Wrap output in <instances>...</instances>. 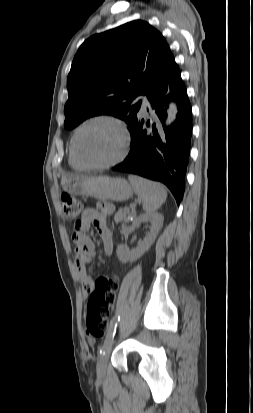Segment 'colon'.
I'll list each match as a JSON object with an SVG mask.
<instances>
[{
    "label": "colon",
    "mask_w": 253,
    "mask_h": 413,
    "mask_svg": "<svg viewBox=\"0 0 253 413\" xmlns=\"http://www.w3.org/2000/svg\"><path fill=\"white\" fill-rule=\"evenodd\" d=\"M63 212L68 220H74L80 213V202L68 193L61 196ZM118 276L116 274L99 277L86 307L87 335L91 338L102 337L109 328L110 307L114 304L118 290Z\"/></svg>",
    "instance_id": "1"
}]
</instances>
